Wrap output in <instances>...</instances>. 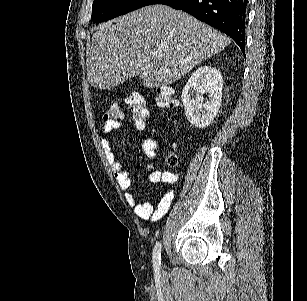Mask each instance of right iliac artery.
<instances>
[{
  "label": "right iliac artery",
  "instance_id": "right-iliac-artery-1",
  "mask_svg": "<svg viewBox=\"0 0 307 301\" xmlns=\"http://www.w3.org/2000/svg\"><path fill=\"white\" fill-rule=\"evenodd\" d=\"M153 265L156 270L161 267V243H157L153 251Z\"/></svg>",
  "mask_w": 307,
  "mask_h": 301
}]
</instances>
